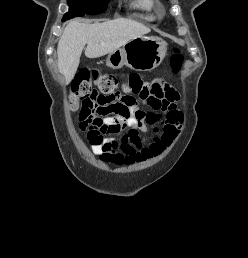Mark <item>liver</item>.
Segmentation results:
<instances>
[{
    "label": "liver",
    "instance_id": "6515ba94",
    "mask_svg": "<svg viewBox=\"0 0 248 258\" xmlns=\"http://www.w3.org/2000/svg\"><path fill=\"white\" fill-rule=\"evenodd\" d=\"M149 32L145 25L125 18L96 24L72 21L64 29L58 43V69L68 84L76 74L86 44L85 56L98 58Z\"/></svg>",
    "mask_w": 248,
    "mask_h": 258
}]
</instances>
